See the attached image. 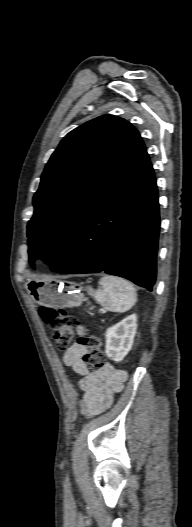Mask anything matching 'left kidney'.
<instances>
[{
    "label": "left kidney",
    "instance_id": "obj_1",
    "mask_svg": "<svg viewBox=\"0 0 192 527\" xmlns=\"http://www.w3.org/2000/svg\"><path fill=\"white\" fill-rule=\"evenodd\" d=\"M137 330V316L130 315L107 329L105 352L107 357L119 362L129 353Z\"/></svg>",
    "mask_w": 192,
    "mask_h": 527
}]
</instances>
